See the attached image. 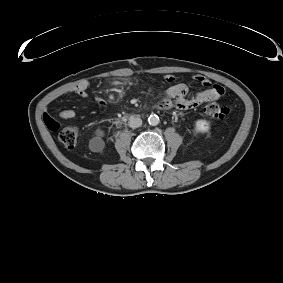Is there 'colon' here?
<instances>
[{
	"instance_id": "colon-1",
	"label": "colon",
	"mask_w": 283,
	"mask_h": 283,
	"mask_svg": "<svg viewBox=\"0 0 283 283\" xmlns=\"http://www.w3.org/2000/svg\"><path fill=\"white\" fill-rule=\"evenodd\" d=\"M203 112L210 119L223 120L229 113V108L217 103H210L205 106ZM77 139L78 131L74 127H65L59 133V140L66 147H74Z\"/></svg>"
}]
</instances>
